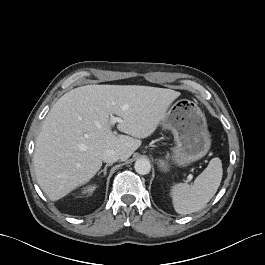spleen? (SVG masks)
Returning a JSON list of instances; mask_svg holds the SVG:
<instances>
[{
  "label": "spleen",
  "instance_id": "3e777b00",
  "mask_svg": "<svg viewBox=\"0 0 265 265\" xmlns=\"http://www.w3.org/2000/svg\"><path fill=\"white\" fill-rule=\"evenodd\" d=\"M223 175L222 162L216 157L210 160L194 183H178L171 188V198L175 211L190 214L203 209L217 192Z\"/></svg>",
  "mask_w": 265,
  "mask_h": 265
}]
</instances>
